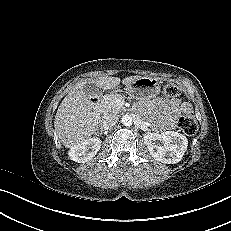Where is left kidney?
I'll return each instance as SVG.
<instances>
[{"instance_id":"left-kidney-1","label":"left kidney","mask_w":231,"mask_h":231,"mask_svg":"<svg viewBox=\"0 0 231 231\" xmlns=\"http://www.w3.org/2000/svg\"><path fill=\"white\" fill-rule=\"evenodd\" d=\"M159 140L162 143L161 145L154 143L152 135L147 134L144 136V141L151 156L161 163H178L187 149V138L178 132L165 131L161 133Z\"/></svg>"}]
</instances>
